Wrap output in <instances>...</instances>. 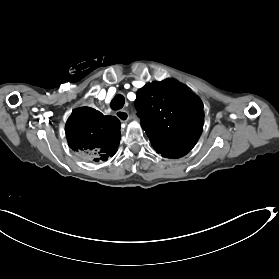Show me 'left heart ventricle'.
<instances>
[{
	"mask_svg": "<svg viewBox=\"0 0 279 279\" xmlns=\"http://www.w3.org/2000/svg\"><path fill=\"white\" fill-rule=\"evenodd\" d=\"M109 71H111V70H106L105 71V77H106V79H112L113 78V75H111V74H109ZM108 73V74H107Z\"/></svg>",
	"mask_w": 279,
	"mask_h": 279,
	"instance_id": "left-heart-ventricle-1",
	"label": "left heart ventricle"
}]
</instances>
